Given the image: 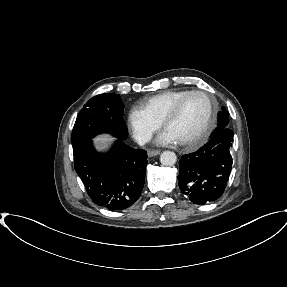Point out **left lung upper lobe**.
I'll return each mask as SVG.
<instances>
[{
  "mask_svg": "<svg viewBox=\"0 0 287 287\" xmlns=\"http://www.w3.org/2000/svg\"><path fill=\"white\" fill-rule=\"evenodd\" d=\"M218 117V127L214 130L211 136L225 128H228L229 115L225 108H222V111L219 112Z\"/></svg>",
  "mask_w": 287,
  "mask_h": 287,
  "instance_id": "left-lung-upper-lobe-1",
  "label": "left lung upper lobe"
}]
</instances>
